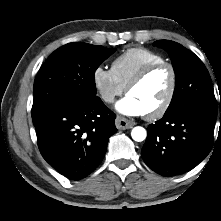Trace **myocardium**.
<instances>
[{
	"label": "myocardium",
	"mask_w": 221,
	"mask_h": 221,
	"mask_svg": "<svg viewBox=\"0 0 221 221\" xmlns=\"http://www.w3.org/2000/svg\"><path fill=\"white\" fill-rule=\"evenodd\" d=\"M162 67H166L170 71V87L163 102L155 110L145 114L148 119H157L162 117L171 106L177 88V72L175 67L166 61L149 64L141 69L126 86V92L129 93L134 87L142 83L152 72Z\"/></svg>",
	"instance_id": "obj_1"
}]
</instances>
